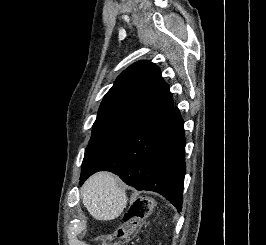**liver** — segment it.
<instances>
[{"label":"liver","mask_w":266,"mask_h":245,"mask_svg":"<svg viewBox=\"0 0 266 245\" xmlns=\"http://www.w3.org/2000/svg\"><path fill=\"white\" fill-rule=\"evenodd\" d=\"M82 203L97 221L117 219L127 205L126 193L112 173H95L85 181Z\"/></svg>","instance_id":"6515ba94"}]
</instances>
